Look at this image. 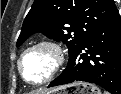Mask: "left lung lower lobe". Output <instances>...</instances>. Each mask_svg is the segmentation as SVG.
<instances>
[{
    "label": "left lung lower lobe",
    "instance_id": "obj_1",
    "mask_svg": "<svg viewBox=\"0 0 121 94\" xmlns=\"http://www.w3.org/2000/svg\"><path fill=\"white\" fill-rule=\"evenodd\" d=\"M76 81L94 83L121 94V18L96 30L69 58L66 69L49 87Z\"/></svg>",
    "mask_w": 121,
    "mask_h": 94
}]
</instances>
